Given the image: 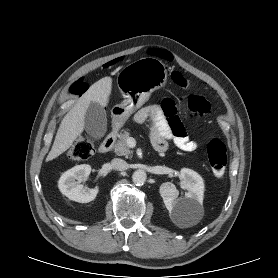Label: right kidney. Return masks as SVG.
<instances>
[{"label": "right kidney", "mask_w": 278, "mask_h": 278, "mask_svg": "<svg viewBox=\"0 0 278 278\" xmlns=\"http://www.w3.org/2000/svg\"><path fill=\"white\" fill-rule=\"evenodd\" d=\"M90 172L91 166L86 164L77 165L64 172L58 181L60 192L70 200L79 203L93 201L98 194V188L84 189L83 185L80 184L89 176Z\"/></svg>", "instance_id": "obj_1"}]
</instances>
